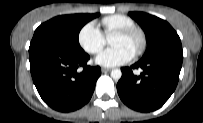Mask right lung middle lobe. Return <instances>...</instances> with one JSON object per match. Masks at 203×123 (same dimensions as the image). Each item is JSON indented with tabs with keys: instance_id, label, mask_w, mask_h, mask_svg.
I'll list each match as a JSON object with an SVG mask.
<instances>
[{
	"instance_id": "obj_1",
	"label": "right lung middle lobe",
	"mask_w": 203,
	"mask_h": 123,
	"mask_svg": "<svg viewBox=\"0 0 203 123\" xmlns=\"http://www.w3.org/2000/svg\"><path fill=\"white\" fill-rule=\"evenodd\" d=\"M95 14L62 15L41 24L34 32L30 45L40 44L67 51H82L78 42L81 28Z\"/></svg>"
}]
</instances>
